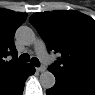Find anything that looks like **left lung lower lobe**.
<instances>
[{
    "label": "left lung lower lobe",
    "instance_id": "0a47b994",
    "mask_svg": "<svg viewBox=\"0 0 95 95\" xmlns=\"http://www.w3.org/2000/svg\"><path fill=\"white\" fill-rule=\"evenodd\" d=\"M56 84L47 95H95V82L68 75H55Z\"/></svg>",
    "mask_w": 95,
    "mask_h": 95
}]
</instances>
